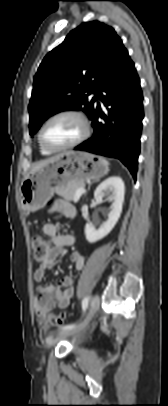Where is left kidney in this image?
Instances as JSON below:
<instances>
[{"label": "left kidney", "instance_id": "1", "mask_svg": "<svg viewBox=\"0 0 168 406\" xmlns=\"http://www.w3.org/2000/svg\"><path fill=\"white\" fill-rule=\"evenodd\" d=\"M125 186L123 180L118 176H112L104 180L96 188L94 198L97 202H103L108 197L112 202L108 219L97 229L92 223L85 225V237L89 243H94L107 236L118 222L124 202Z\"/></svg>", "mask_w": 168, "mask_h": 406}]
</instances>
